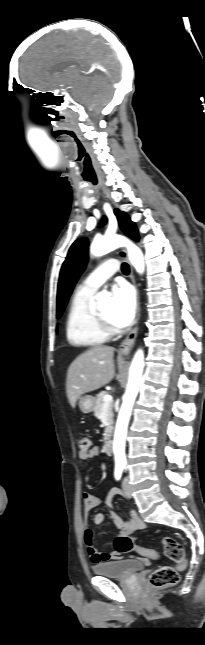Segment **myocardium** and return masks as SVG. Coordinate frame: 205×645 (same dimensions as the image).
Returning a JSON list of instances; mask_svg holds the SVG:
<instances>
[{
    "label": "myocardium",
    "instance_id": "1",
    "mask_svg": "<svg viewBox=\"0 0 205 645\" xmlns=\"http://www.w3.org/2000/svg\"><path fill=\"white\" fill-rule=\"evenodd\" d=\"M94 315L96 321L98 322L102 331L108 336L115 335L118 333V329L112 322L108 321L104 316H102L98 311L94 310Z\"/></svg>",
    "mask_w": 205,
    "mask_h": 645
}]
</instances>
